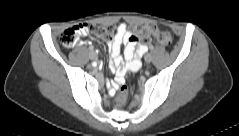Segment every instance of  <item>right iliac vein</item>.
Segmentation results:
<instances>
[{"instance_id":"obj_1","label":"right iliac vein","mask_w":239,"mask_h":136,"mask_svg":"<svg viewBox=\"0 0 239 136\" xmlns=\"http://www.w3.org/2000/svg\"><path fill=\"white\" fill-rule=\"evenodd\" d=\"M90 58L93 59V60L96 59L97 58V53L95 51H92L90 53Z\"/></svg>"}]
</instances>
